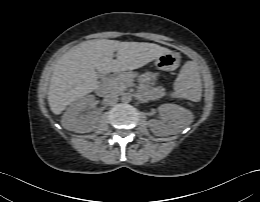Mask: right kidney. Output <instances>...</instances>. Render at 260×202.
Masks as SVG:
<instances>
[{"mask_svg": "<svg viewBox=\"0 0 260 202\" xmlns=\"http://www.w3.org/2000/svg\"><path fill=\"white\" fill-rule=\"evenodd\" d=\"M93 95H87L74 102L62 116V125L69 131L76 133H89L97 128L101 113L92 111L84 113L87 107L94 104Z\"/></svg>", "mask_w": 260, "mask_h": 202, "instance_id": "right-kidney-1", "label": "right kidney"}]
</instances>
